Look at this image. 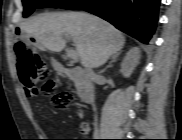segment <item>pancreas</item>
<instances>
[{
    "mask_svg": "<svg viewBox=\"0 0 182 140\" xmlns=\"http://www.w3.org/2000/svg\"><path fill=\"white\" fill-rule=\"evenodd\" d=\"M57 71H58V73L60 74V75H63L62 73H60V71L57 69Z\"/></svg>",
    "mask_w": 182,
    "mask_h": 140,
    "instance_id": "obj_1",
    "label": "pancreas"
}]
</instances>
